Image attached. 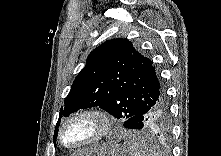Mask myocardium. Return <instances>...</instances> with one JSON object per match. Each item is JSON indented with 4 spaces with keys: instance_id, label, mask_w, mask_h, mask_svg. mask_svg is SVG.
<instances>
[{
    "instance_id": "f54148a6",
    "label": "myocardium",
    "mask_w": 221,
    "mask_h": 156,
    "mask_svg": "<svg viewBox=\"0 0 221 156\" xmlns=\"http://www.w3.org/2000/svg\"><path fill=\"white\" fill-rule=\"evenodd\" d=\"M80 118H92L97 123V131L93 136L84 142L75 145H68L63 141V132L66 126ZM113 119L111 114L100 107H86L75 111L66 117L59 126L57 138L60 145L68 150H79L94 145L104 139L112 130Z\"/></svg>"
}]
</instances>
